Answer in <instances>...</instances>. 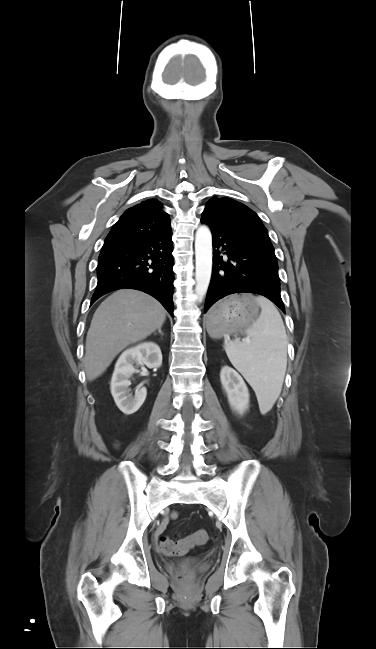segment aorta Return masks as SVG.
<instances>
[{
    "label": "aorta",
    "mask_w": 376,
    "mask_h": 649,
    "mask_svg": "<svg viewBox=\"0 0 376 649\" xmlns=\"http://www.w3.org/2000/svg\"><path fill=\"white\" fill-rule=\"evenodd\" d=\"M195 256V292L198 301H202L207 292L212 271V235L210 229L205 225H201L196 231Z\"/></svg>",
    "instance_id": "1"
}]
</instances>
